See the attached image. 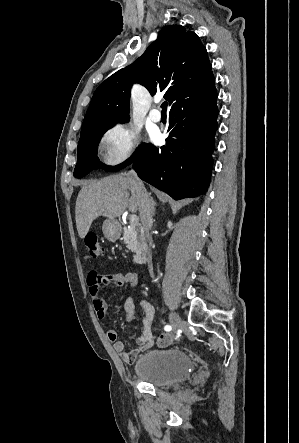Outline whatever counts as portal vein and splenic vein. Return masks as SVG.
Instances as JSON below:
<instances>
[{
	"instance_id": "portal-vein-and-splenic-vein-1",
	"label": "portal vein and splenic vein",
	"mask_w": 299,
	"mask_h": 443,
	"mask_svg": "<svg viewBox=\"0 0 299 443\" xmlns=\"http://www.w3.org/2000/svg\"><path fill=\"white\" fill-rule=\"evenodd\" d=\"M130 223L131 224H137L138 223V218L136 215H131L130 216Z\"/></svg>"
}]
</instances>
